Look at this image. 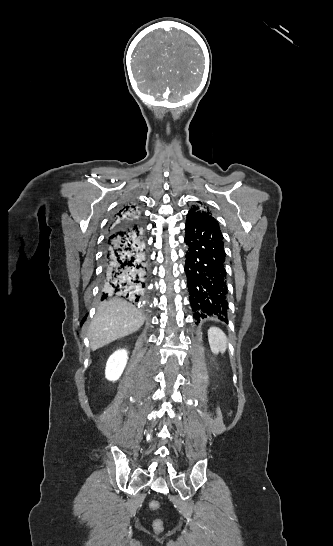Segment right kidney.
Instances as JSON below:
<instances>
[{
  "label": "right kidney",
  "instance_id": "obj_1",
  "mask_svg": "<svg viewBox=\"0 0 333 546\" xmlns=\"http://www.w3.org/2000/svg\"><path fill=\"white\" fill-rule=\"evenodd\" d=\"M127 359H128V353L126 350L123 349V350H118L114 352L109 357L106 364V371H105L106 378L110 381L117 380L121 376L126 366Z\"/></svg>",
  "mask_w": 333,
  "mask_h": 546
}]
</instances>
